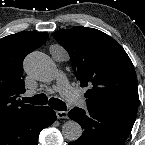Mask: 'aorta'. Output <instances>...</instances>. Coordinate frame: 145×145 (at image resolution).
<instances>
[{
	"label": "aorta",
	"mask_w": 145,
	"mask_h": 145,
	"mask_svg": "<svg viewBox=\"0 0 145 145\" xmlns=\"http://www.w3.org/2000/svg\"><path fill=\"white\" fill-rule=\"evenodd\" d=\"M24 69L27 74L43 82L52 81L57 72L50 57L39 51H34L26 57ZM62 134L69 141H75L82 135V128L76 121L69 120L63 124Z\"/></svg>",
	"instance_id": "762f6f07"
}]
</instances>
